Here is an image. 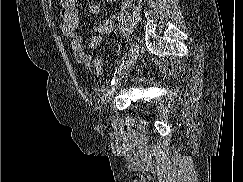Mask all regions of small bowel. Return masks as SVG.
I'll return each mask as SVG.
<instances>
[{
    "label": "small bowel",
    "instance_id": "1",
    "mask_svg": "<svg viewBox=\"0 0 243 182\" xmlns=\"http://www.w3.org/2000/svg\"><path fill=\"white\" fill-rule=\"evenodd\" d=\"M114 0H105L107 3H111ZM60 30L62 34L69 40L72 48L75 60L84 65L85 67L90 66L91 57L86 52L81 37L77 34L76 30L80 24V14L77 5V0H60ZM102 10L101 5L91 4L89 12L92 15H98ZM112 20H105L102 23L95 26V34L89 39V48L94 50L99 47L102 39L111 31Z\"/></svg>",
    "mask_w": 243,
    "mask_h": 182
}]
</instances>
